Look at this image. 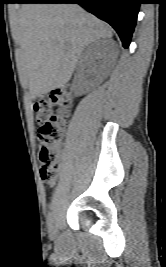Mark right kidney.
Returning <instances> with one entry per match:
<instances>
[{
	"label": "right kidney",
	"instance_id": "right-kidney-1",
	"mask_svg": "<svg viewBox=\"0 0 166 267\" xmlns=\"http://www.w3.org/2000/svg\"><path fill=\"white\" fill-rule=\"evenodd\" d=\"M104 52V46L100 41H96L92 43L86 50V52L83 54L81 58V67L77 74V80H76V88L80 90L81 93H84L88 90L89 86L91 85V81L87 80L84 77V69L90 65L93 64L96 67V72L99 74L101 72V66H97L95 64V61L92 60L93 57L95 59H99L102 57V53Z\"/></svg>",
	"mask_w": 166,
	"mask_h": 267
}]
</instances>
